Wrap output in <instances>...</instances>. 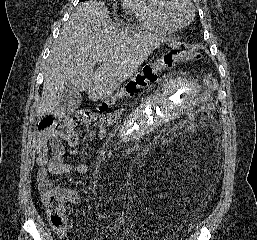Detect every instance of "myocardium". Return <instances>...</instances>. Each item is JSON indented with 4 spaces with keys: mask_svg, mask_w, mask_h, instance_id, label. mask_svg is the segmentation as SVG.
Wrapping results in <instances>:
<instances>
[{
    "mask_svg": "<svg viewBox=\"0 0 257 240\" xmlns=\"http://www.w3.org/2000/svg\"><path fill=\"white\" fill-rule=\"evenodd\" d=\"M179 4H184L189 9L187 17L185 19H181L176 13V7ZM166 12H167L169 18L177 26H185L191 22V20L194 16V13H195V6L191 0H166Z\"/></svg>",
    "mask_w": 257,
    "mask_h": 240,
    "instance_id": "f54148a6",
    "label": "myocardium"
}]
</instances>
